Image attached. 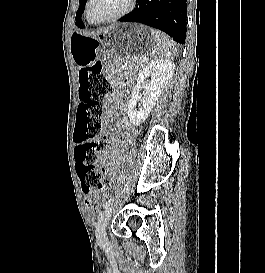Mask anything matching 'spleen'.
Returning <instances> with one entry per match:
<instances>
[{
  "instance_id": "3e777b00",
  "label": "spleen",
  "mask_w": 265,
  "mask_h": 273,
  "mask_svg": "<svg viewBox=\"0 0 265 273\" xmlns=\"http://www.w3.org/2000/svg\"><path fill=\"white\" fill-rule=\"evenodd\" d=\"M154 39V56L162 59H173L176 56L174 42L161 31L150 29Z\"/></svg>"
}]
</instances>
